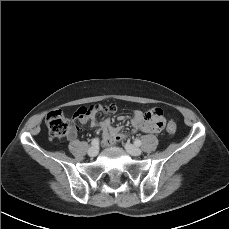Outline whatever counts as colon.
<instances>
[{
  "mask_svg": "<svg viewBox=\"0 0 229 229\" xmlns=\"http://www.w3.org/2000/svg\"><path fill=\"white\" fill-rule=\"evenodd\" d=\"M99 105H91L89 107H82L78 110L80 115H88L100 110ZM105 112H114L115 105L106 106L103 109ZM144 122L150 125L153 129H159L164 125L165 119L163 111L159 108L151 109L144 114ZM46 125L52 137L60 139L65 137L72 129V125L66 120L61 110H53L49 112L46 117ZM169 134H174L177 126L174 122L167 125L166 128Z\"/></svg>",
  "mask_w": 229,
  "mask_h": 229,
  "instance_id": "5ec220e1",
  "label": "colon"
}]
</instances>
